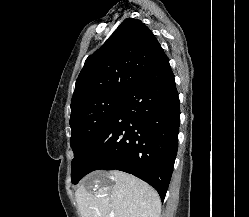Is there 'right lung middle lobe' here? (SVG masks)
Listing matches in <instances>:
<instances>
[{"mask_svg": "<svg viewBox=\"0 0 249 217\" xmlns=\"http://www.w3.org/2000/svg\"><path fill=\"white\" fill-rule=\"evenodd\" d=\"M124 98L125 95L121 94H107L83 102L71 110L73 184H77L81 178L79 167L87 151L110 122Z\"/></svg>", "mask_w": 249, "mask_h": 217, "instance_id": "right-lung-middle-lobe-1", "label": "right lung middle lobe"}]
</instances>
